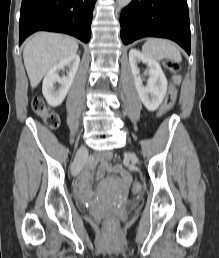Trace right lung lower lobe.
<instances>
[{
  "label": "right lung lower lobe",
  "mask_w": 219,
  "mask_h": 258,
  "mask_svg": "<svg viewBox=\"0 0 219 258\" xmlns=\"http://www.w3.org/2000/svg\"><path fill=\"white\" fill-rule=\"evenodd\" d=\"M96 0H22L19 44L39 31L66 33L87 43Z\"/></svg>",
  "instance_id": "right-lung-lower-lobe-1"
}]
</instances>
